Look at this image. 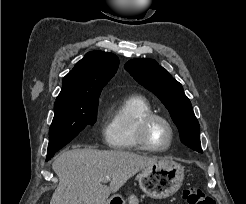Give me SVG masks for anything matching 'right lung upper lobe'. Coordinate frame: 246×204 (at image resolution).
Listing matches in <instances>:
<instances>
[{"instance_id":"right-lung-upper-lobe-1","label":"right lung upper lobe","mask_w":246,"mask_h":204,"mask_svg":"<svg viewBox=\"0 0 246 204\" xmlns=\"http://www.w3.org/2000/svg\"><path fill=\"white\" fill-rule=\"evenodd\" d=\"M119 59L116 55L92 51L85 55L63 78L62 90L56 102H67L100 95L103 87L116 73Z\"/></svg>"}]
</instances>
